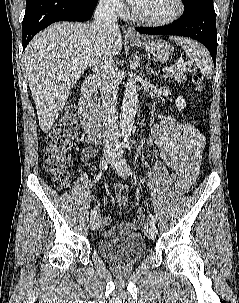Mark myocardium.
<instances>
[{"mask_svg":"<svg viewBox=\"0 0 239 303\" xmlns=\"http://www.w3.org/2000/svg\"><path fill=\"white\" fill-rule=\"evenodd\" d=\"M176 4H177L176 11L172 15L165 17V18H161V19L146 18V17L139 15L136 12L135 8L132 10V17L136 21H138L142 24H145V25H149V26L169 25V24H172V23L176 22L177 20H179L185 12L184 0H176Z\"/></svg>","mask_w":239,"mask_h":303,"instance_id":"1","label":"myocardium"}]
</instances>
